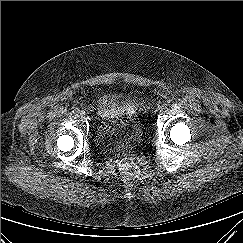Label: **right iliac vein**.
Here are the masks:
<instances>
[{
  "mask_svg": "<svg viewBox=\"0 0 243 243\" xmlns=\"http://www.w3.org/2000/svg\"><path fill=\"white\" fill-rule=\"evenodd\" d=\"M78 115L83 118V117H85V112L84 111H80Z\"/></svg>",
  "mask_w": 243,
  "mask_h": 243,
  "instance_id": "63e3f726",
  "label": "right iliac vein"
}]
</instances>
